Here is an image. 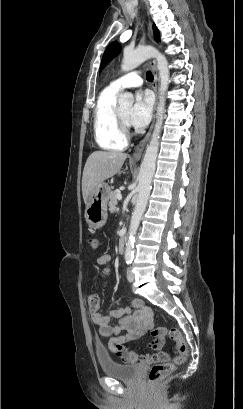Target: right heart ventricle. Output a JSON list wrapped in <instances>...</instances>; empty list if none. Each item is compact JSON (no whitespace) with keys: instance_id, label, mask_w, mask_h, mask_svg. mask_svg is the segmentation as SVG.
Returning <instances> with one entry per match:
<instances>
[{"instance_id":"right-heart-ventricle-1","label":"right heart ventricle","mask_w":243,"mask_h":409,"mask_svg":"<svg viewBox=\"0 0 243 409\" xmlns=\"http://www.w3.org/2000/svg\"><path fill=\"white\" fill-rule=\"evenodd\" d=\"M118 92L106 87L99 95L94 112L95 139L105 150H123L127 145L115 115Z\"/></svg>"}]
</instances>
